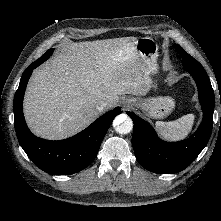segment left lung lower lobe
Segmentation results:
<instances>
[{
  "instance_id": "1",
  "label": "left lung lower lobe",
  "mask_w": 221,
  "mask_h": 221,
  "mask_svg": "<svg viewBox=\"0 0 221 221\" xmlns=\"http://www.w3.org/2000/svg\"><path fill=\"white\" fill-rule=\"evenodd\" d=\"M183 64L198 87L203 111L202 124L188 139L165 142L158 138L153 127L134 113H126L134 122L132 146L138 162L147 170L159 174H172L184 170L207 145L213 125L214 91L203 66L187 53Z\"/></svg>"
}]
</instances>
